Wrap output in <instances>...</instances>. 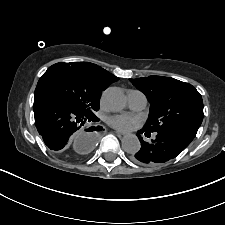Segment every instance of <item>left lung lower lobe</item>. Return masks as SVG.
<instances>
[{"mask_svg":"<svg viewBox=\"0 0 225 225\" xmlns=\"http://www.w3.org/2000/svg\"><path fill=\"white\" fill-rule=\"evenodd\" d=\"M198 126L188 125L158 132L149 142L141 135L151 136V132L142 128L138 131L141 142L140 150L134 155V161L145 165H159L179 155L194 139Z\"/></svg>","mask_w":225,"mask_h":225,"instance_id":"0a47b994","label":"left lung lower lobe"}]
</instances>
